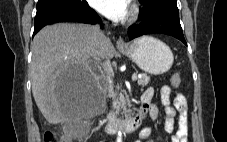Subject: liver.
<instances>
[{
  "label": "liver",
  "mask_w": 227,
  "mask_h": 142,
  "mask_svg": "<svg viewBox=\"0 0 227 142\" xmlns=\"http://www.w3.org/2000/svg\"><path fill=\"white\" fill-rule=\"evenodd\" d=\"M31 51L33 97L50 124L75 117L80 90L86 82L94 87L99 84L91 63L115 55V48L106 37L96 46L92 26L70 23L44 27L35 35ZM59 73H77V78H59Z\"/></svg>",
  "instance_id": "1"
}]
</instances>
